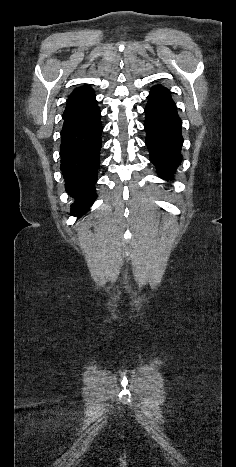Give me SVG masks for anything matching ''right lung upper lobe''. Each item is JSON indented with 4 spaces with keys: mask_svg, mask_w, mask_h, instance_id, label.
<instances>
[{
    "mask_svg": "<svg viewBox=\"0 0 236 467\" xmlns=\"http://www.w3.org/2000/svg\"><path fill=\"white\" fill-rule=\"evenodd\" d=\"M94 98L95 94L90 86L84 85L82 87L76 88L70 94L63 114H67L83 107Z\"/></svg>",
    "mask_w": 236,
    "mask_h": 467,
    "instance_id": "cb5924a9",
    "label": "right lung upper lobe"
}]
</instances>
